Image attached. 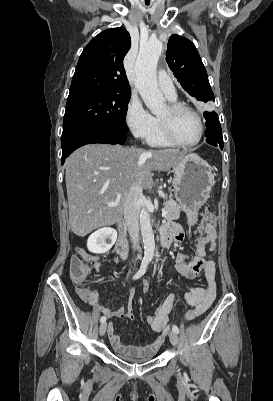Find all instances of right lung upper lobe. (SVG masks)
<instances>
[{"mask_svg":"<svg viewBox=\"0 0 273 401\" xmlns=\"http://www.w3.org/2000/svg\"><path fill=\"white\" fill-rule=\"evenodd\" d=\"M130 47V35L121 27L94 37L79 58L69 96L87 92L131 94L123 67Z\"/></svg>","mask_w":273,"mask_h":401,"instance_id":"1","label":"right lung upper lobe"}]
</instances>
